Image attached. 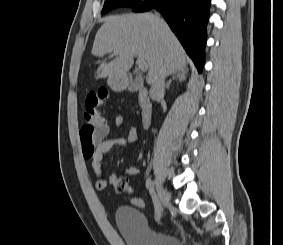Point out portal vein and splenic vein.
<instances>
[{
  "mask_svg": "<svg viewBox=\"0 0 283 245\" xmlns=\"http://www.w3.org/2000/svg\"><path fill=\"white\" fill-rule=\"evenodd\" d=\"M136 63L141 71H146L148 69V65L144 60L137 59Z\"/></svg>",
  "mask_w": 283,
  "mask_h": 245,
  "instance_id": "portal-vein-and-splenic-vein-1",
  "label": "portal vein and splenic vein"
}]
</instances>
